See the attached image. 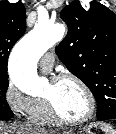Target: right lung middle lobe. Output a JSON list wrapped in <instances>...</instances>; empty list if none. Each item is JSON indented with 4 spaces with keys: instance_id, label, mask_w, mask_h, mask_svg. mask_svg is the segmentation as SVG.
<instances>
[{
    "instance_id": "1",
    "label": "right lung middle lobe",
    "mask_w": 116,
    "mask_h": 134,
    "mask_svg": "<svg viewBox=\"0 0 116 134\" xmlns=\"http://www.w3.org/2000/svg\"><path fill=\"white\" fill-rule=\"evenodd\" d=\"M8 85V75H0V119L8 118L13 113L6 100Z\"/></svg>"
}]
</instances>
